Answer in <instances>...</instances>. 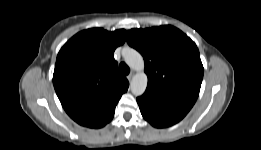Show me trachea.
<instances>
[{
  "mask_svg": "<svg viewBox=\"0 0 261 150\" xmlns=\"http://www.w3.org/2000/svg\"><path fill=\"white\" fill-rule=\"evenodd\" d=\"M119 69H120L121 73L124 75H128L130 73V68L124 62L120 63Z\"/></svg>",
  "mask_w": 261,
  "mask_h": 150,
  "instance_id": "1",
  "label": "trachea"
}]
</instances>
